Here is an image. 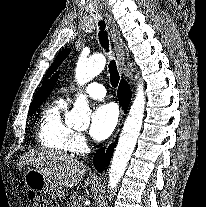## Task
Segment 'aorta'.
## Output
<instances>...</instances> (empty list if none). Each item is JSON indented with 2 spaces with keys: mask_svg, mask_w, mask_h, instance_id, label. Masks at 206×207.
Here are the masks:
<instances>
[{
  "mask_svg": "<svg viewBox=\"0 0 206 207\" xmlns=\"http://www.w3.org/2000/svg\"><path fill=\"white\" fill-rule=\"evenodd\" d=\"M106 59L103 54H94L89 58H80L76 66V79L79 84H85L97 76L105 67ZM145 109L143 84L139 83L136 97L125 120L117 146L115 148L109 169L108 187L111 193L117 188L122 175L135 148L140 134ZM90 108L86 96L79 95L73 109L66 117V123L81 125L89 121ZM112 194H110L111 196Z\"/></svg>",
  "mask_w": 206,
  "mask_h": 207,
  "instance_id": "aorta-1",
  "label": "aorta"
}]
</instances>
